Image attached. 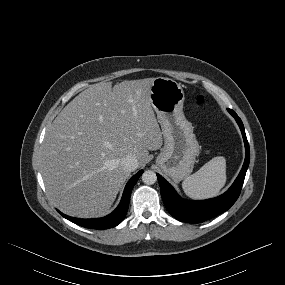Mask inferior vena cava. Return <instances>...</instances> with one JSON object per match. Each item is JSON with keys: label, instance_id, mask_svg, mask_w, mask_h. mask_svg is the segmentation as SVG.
Returning a JSON list of instances; mask_svg holds the SVG:
<instances>
[{"label": "inferior vena cava", "instance_id": "1", "mask_svg": "<svg viewBox=\"0 0 285 285\" xmlns=\"http://www.w3.org/2000/svg\"><path fill=\"white\" fill-rule=\"evenodd\" d=\"M123 167L129 171H134L138 168V160L133 155L124 157L121 161Z\"/></svg>", "mask_w": 285, "mask_h": 285}]
</instances>
